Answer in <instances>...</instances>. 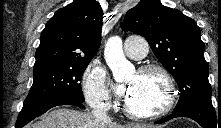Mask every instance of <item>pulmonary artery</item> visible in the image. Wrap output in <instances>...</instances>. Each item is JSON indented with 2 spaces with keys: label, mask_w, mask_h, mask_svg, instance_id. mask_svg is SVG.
<instances>
[{
  "label": "pulmonary artery",
  "mask_w": 221,
  "mask_h": 128,
  "mask_svg": "<svg viewBox=\"0 0 221 128\" xmlns=\"http://www.w3.org/2000/svg\"><path fill=\"white\" fill-rule=\"evenodd\" d=\"M124 50L129 58L140 59L145 56L148 50V42L142 36L131 35L125 41Z\"/></svg>",
  "instance_id": "obj_1"
}]
</instances>
